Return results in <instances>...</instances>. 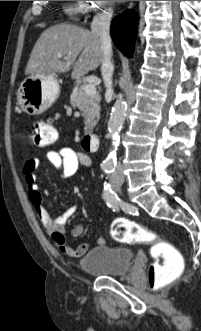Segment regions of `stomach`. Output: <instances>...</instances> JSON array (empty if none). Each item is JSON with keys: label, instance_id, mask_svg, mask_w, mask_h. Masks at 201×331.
<instances>
[{"label": "stomach", "instance_id": "1", "mask_svg": "<svg viewBox=\"0 0 201 331\" xmlns=\"http://www.w3.org/2000/svg\"><path fill=\"white\" fill-rule=\"evenodd\" d=\"M59 94V82L52 74L30 75L20 84L17 104L28 115H40L54 104Z\"/></svg>", "mask_w": 201, "mask_h": 331}]
</instances>
